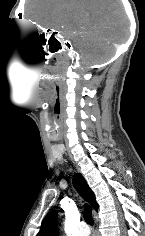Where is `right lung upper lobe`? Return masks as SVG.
I'll list each match as a JSON object with an SVG mask.
<instances>
[{
	"mask_svg": "<svg viewBox=\"0 0 145 236\" xmlns=\"http://www.w3.org/2000/svg\"><path fill=\"white\" fill-rule=\"evenodd\" d=\"M73 184L74 187L91 204V206L95 210H98V204L95 200V195L81 174L77 173L74 175ZM37 236H58L57 211L52 210L46 215L42 221L41 228Z\"/></svg>",
	"mask_w": 145,
	"mask_h": 236,
	"instance_id": "obj_1",
	"label": "right lung upper lobe"
}]
</instances>
